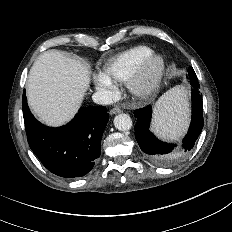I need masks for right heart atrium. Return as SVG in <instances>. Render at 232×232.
<instances>
[{
  "mask_svg": "<svg viewBox=\"0 0 232 232\" xmlns=\"http://www.w3.org/2000/svg\"><path fill=\"white\" fill-rule=\"evenodd\" d=\"M93 82L96 89L104 98L109 99L117 94L116 84L103 73L95 74L93 76Z\"/></svg>",
  "mask_w": 232,
  "mask_h": 232,
  "instance_id": "1",
  "label": "right heart atrium"
}]
</instances>
